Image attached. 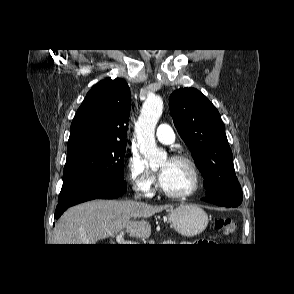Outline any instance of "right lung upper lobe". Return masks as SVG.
<instances>
[{"label":"right lung upper lobe","instance_id":"obj_1","mask_svg":"<svg viewBox=\"0 0 294 294\" xmlns=\"http://www.w3.org/2000/svg\"><path fill=\"white\" fill-rule=\"evenodd\" d=\"M131 109L128 84L107 78L87 93L70 127L68 144L82 141L126 144Z\"/></svg>","mask_w":294,"mask_h":294}]
</instances>
